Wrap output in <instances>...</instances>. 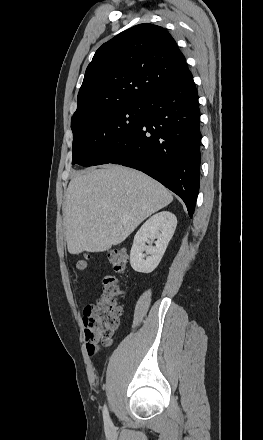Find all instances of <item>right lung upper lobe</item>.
<instances>
[{"instance_id":"cb5924a9","label":"right lung upper lobe","mask_w":263,"mask_h":440,"mask_svg":"<svg viewBox=\"0 0 263 440\" xmlns=\"http://www.w3.org/2000/svg\"><path fill=\"white\" fill-rule=\"evenodd\" d=\"M189 73L185 58L162 27L139 24L104 43L88 65L71 128L115 106L144 102Z\"/></svg>"}]
</instances>
